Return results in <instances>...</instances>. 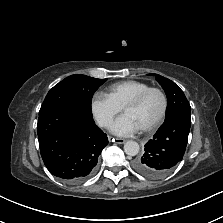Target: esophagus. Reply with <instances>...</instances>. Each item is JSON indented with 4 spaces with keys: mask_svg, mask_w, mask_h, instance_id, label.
<instances>
[{
    "mask_svg": "<svg viewBox=\"0 0 223 223\" xmlns=\"http://www.w3.org/2000/svg\"><path fill=\"white\" fill-rule=\"evenodd\" d=\"M110 140H112V142H116L118 144H124L126 142L125 139H122V138H110Z\"/></svg>",
    "mask_w": 223,
    "mask_h": 223,
    "instance_id": "34e87169",
    "label": "esophagus"
}]
</instances>
